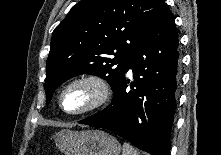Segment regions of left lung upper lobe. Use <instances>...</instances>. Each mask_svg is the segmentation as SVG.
I'll use <instances>...</instances> for the list:
<instances>
[{"instance_id":"5c2ea615","label":"left lung upper lobe","mask_w":221,"mask_h":155,"mask_svg":"<svg viewBox=\"0 0 221 155\" xmlns=\"http://www.w3.org/2000/svg\"><path fill=\"white\" fill-rule=\"evenodd\" d=\"M163 0H82L55 28L47 59L46 103L55 89L79 74L97 75L112 89L154 22Z\"/></svg>"}]
</instances>
